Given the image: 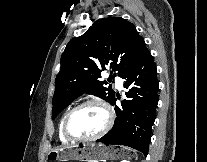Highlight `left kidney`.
<instances>
[{"instance_id":"5707ae66","label":"left kidney","mask_w":207,"mask_h":162,"mask_svg":"<svg viewBox=\"0 0 207 162\" xmlns=\"http://www.w3.org/2000/svg\"><path fill=\"white\" fill-rule=\"evenodd\" d=\"M121 162H130V161H127V160H123V161H121Z\"/></svg>"}]
</instances>
